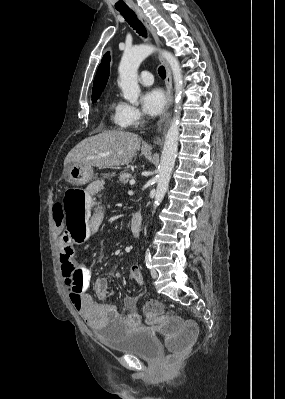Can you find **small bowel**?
Returning <instances> with one entry per match:
<instances>
[{
	"instance_id": "c3829d8e",
	"label": "small bowel",
	"mask_w": 285,
	"mask_h": 399,
	"mask_svg": "<svg viewBox=\"0 0 285 399\" xmlns=\"http://www.w3.org/2000/svg\"><path fill=\"white\" fill-rule=\"evenodd\" d=\"M103 183H95L85 192L84 198L86 201V210L89 214V220L91 223L92 232L97 233L104 220V210L99 199V195L102 191ZM54 213L60 218V246L61 254L60 257L65 254V250L68 247V240L70 238L69 233L64 228L63 211L61 207H56ZM75 278L81 279L83 284V294L81 303L77 306L75 303L74 307L80 314V316L88 323V325H105L114 324L118 329L123 332L130 328L142 327L141 315L137 311V302L141 298V295H135L131 299L124 300V307L129 309L126 314L120 313L118 306L110 300L109 297V286L103 279H99L95 283V293L99 301H94L91 295L86 290V285L91 279V272L88 268L80 265L75 270ZM130 278L138 287H143L145 280L139 267L133 266L130 269ZM160 319L150 320L149 324L155 326Z\"/></svg>"
}]
</instances>
